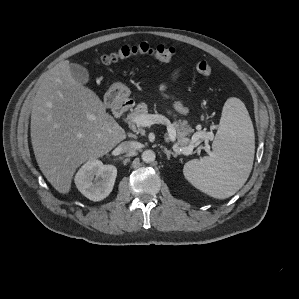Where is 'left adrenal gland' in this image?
<instances>
[{
	"instance_id": "left-adrenal-gland-1",
	"label": "left adrenal gland",
	"mask_w": 299,
	"mask_h": 299,
	"mask_svg": "<svg viewBox=\"0 0 299 299\" xmlns=\"http://www.w3.org/2000/svg\"><path fill=\"white\" fill-rule=\"evenodd\" d=\"M163 151H164V153L166 154L168 160H170L171 155H172L173 157H177V154H176V153L172 152L171 150H168L167 148H164Z\"/></svg>"
}]
</instances>
